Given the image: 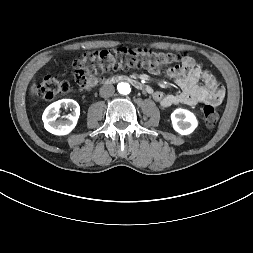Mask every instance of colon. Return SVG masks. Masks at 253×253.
<instances>
[{"mask_svg":"<svg viewBox=\"0 0 253 253\" xmlns=\"http://www.w3.org/2000/svg\"><path fill=\"white\" fill-rule=\"evenodd\" d=\"M184 58V57H183ZM179 54L142 49L117 48L88 52L76 59L72 72L80 87L100 86L104 82V72L112 69L131 67H148L157 65L165 67L183 59ZM70 91L67 81L52 75L44 76L34 87L35 94L45 100L53 99ZM205 122L214 126L219 120V111L213 104L203 107Z\"/></svg>","mask_w":253,"mask_h":253,"instance_id":"colon-1","label":"colon"}]
</instances>
